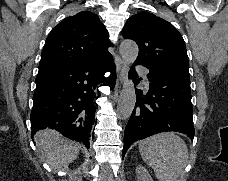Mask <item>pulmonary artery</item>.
<instances>
[{"instance_id": "e3ab8cb5", "label": "pulmonary artery", "mask_w": 228, "mask_h": 181, "mask_svg": "<svg viewBox=\"0 0 228 181\" xmlns=\"http://www.w3.org/2000/svg\"><path fill=\"white\" fill-rule=\"evenodd\" d=\"M137 70H138V71H143V70H144V67H143V66H138V67H137Z\"/></svg>"}]
</instances>
